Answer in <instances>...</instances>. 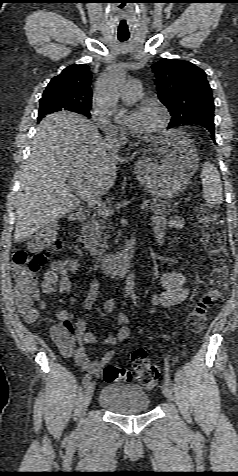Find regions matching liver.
<instances>
[{
  "label": "liver",
  "mask_w": 238,
  "mask_h": 476,
  "mask_svg": "<svg viewBox=\"0 0 238 476\" xmlns=\"http://www.w3.org/2000/svg\"><path fill=\"white\" fill-rule=\"evenodd\" d=\"M126 160L108 149L96 126L83 116L65 111L47 115L22 166L14 241L23 242L80 205L67 181L82 180L102 196L114 184L117 164Z\"/></svg>",
  "instance_id": "6515ba94"
}]
</instances>
